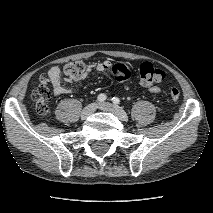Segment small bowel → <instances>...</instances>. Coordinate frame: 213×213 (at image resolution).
<instances>
[{
  "label": "small bowel",
  "mask_w": 213,
  "mask_h": 213,
  "mask_svg": "<svg viewBox=\"0 0 213 213\" xmlns=\"http://www.w3.org/2000/svg\"><path fill=\"white\" fill-rule=\"evenodd\" d=\"M113 64L109 61L100 62L97 64H90L87 66V72L91 71H98V72H105L110 71L112 69ZM46 81L51 84L52 91L54 96H61L71 92V87L64 84V79L62 75V71L59 67L54 66L51 67L47 75L45 77ZM70 82V80H68ZM150 92L158 93L160 91L158 86H153L149 88Z\"/></svg>",
  "instance_id": "obj_1"
}]
</instances>
